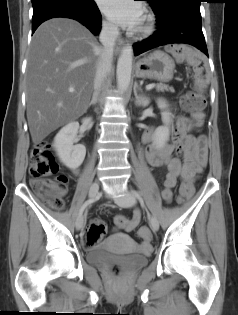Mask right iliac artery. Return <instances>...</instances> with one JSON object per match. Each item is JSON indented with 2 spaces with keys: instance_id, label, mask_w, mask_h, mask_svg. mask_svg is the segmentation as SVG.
<instances>
[{
  "instance_id": "obj_1",
  "label": "right iliac artery",
  "mask_w": 238,
  "mask_h": 315,
  "mask_svg": "<svg viewBox=\"0 0 238 315\" xmlns=\"http://www.w3.org/2000/svg\"><path fill=\"white\" fill-rule=\"evenodd\" d=\"M94 201L95 199L93 198L86 200L79 211V216L82 215L83 212L87 209V207L91 205Z\"/></svg>"
}]
</instances>
